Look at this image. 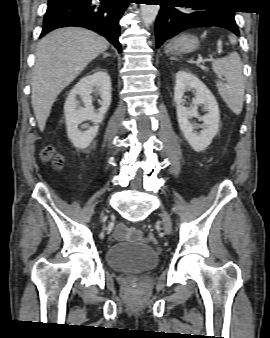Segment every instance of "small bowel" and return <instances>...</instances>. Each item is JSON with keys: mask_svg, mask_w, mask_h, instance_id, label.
I'll return each instance as SVG.
<instances>
[{"mask_svg": "<svg viewBox=\"0 0 270 338\" xmlns=\"http://www.w3.org/2000/svg\"><path fill=\"white\" fill-rule=\"evenodd\" d=\"M116 236L122 238H130L132 240L138 239V231L135 228H126V227H119L115 231Z\"/></svg>", "mask_w": 270, "mask_h": 338, "instance_id": "small-bowel-1", "label": "small bowel"}]
</instances>
